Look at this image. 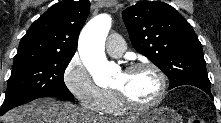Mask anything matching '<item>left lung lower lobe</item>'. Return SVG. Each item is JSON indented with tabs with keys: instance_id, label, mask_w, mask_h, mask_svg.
<instances>
[{
	"instance_id": "1",
	"label": "left lung lower lobe",
	"mask_w": 221,
	"mask_h": 123,
	"mask_svg": "<svg viewBox=\"0 0 221 123\" xmlns=\"http://www.w3.org/2000/svg\"><path fill=\"white\" fill-rule=\"evenodd\" d=\"M193 86H196V87L202 89V90L205 91L208 95H210L211 98H213V97H212V94H211V92H210V87H204V86H199V85H193Z\"/></svg>"
}]
</instances>
